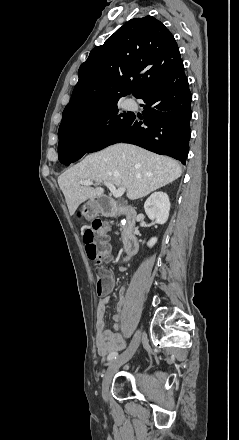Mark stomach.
Instances as JSON below:
<instances>
[{
    "instance_id": "1",
    "label": "stomach",
    "mask_w": 239,
    "mask_h": 440,
    "mask_svg": "<svg viewBox=\"0 0 239 440\" xmlns=\"http://www.w3.org/2000/svg\"><path fill=\"white\" fill-rule=\"evenodd\" d=\"M100 212V202L99 200H95V198H92V200H89V202H86V204L82 206V214L86 220H93Z\"/></svg>"
}]
</instances>
